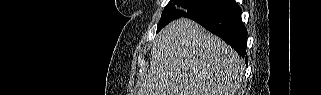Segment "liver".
<instances>
[{
	"instance_id": "obj_1",
	"label": "liver",
	"mask_w": 321,
	"mask_h": 95,
	"mask_svg": "<svg viewBox=\"0 0 321 95\" xmlns=\"http://www.w3.org/2000/svg\"><path fill=\"white\" fill-rule=\"evenodd\" d=\"M244 62L219 37L180 18L153 43L150 70L138 95H235Z\"/></svg>"
}]
</instances>
